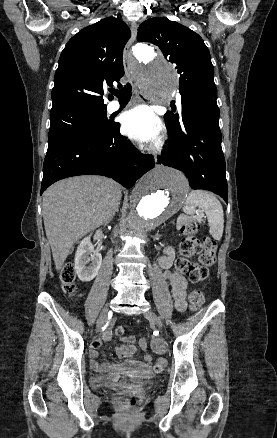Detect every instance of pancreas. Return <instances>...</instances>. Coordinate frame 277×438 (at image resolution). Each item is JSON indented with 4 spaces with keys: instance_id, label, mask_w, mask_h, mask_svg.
<instances>
[{
    "instance_id": "cf45deb5",
    "label": "pancreas",
    "mask_w": 277,
    "mask_h": 438,
    "mask_svg": "<svg viewBox=\"0 0 277 438\" xmlns=\"http://www.w3.org/2000/svg\"><path fill=\"white\" fill-rule=\"evenodd\" d=\"M191 215L190 214H183L182 218H178L175 221L176 226L181 227L184 223H190L191 222Z\"/></svg>"
}]
</instances>
